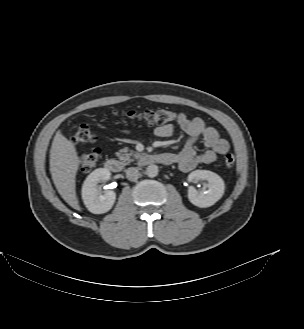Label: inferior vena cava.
Returning <instances> with one entry per match:
<instances>
[{"label": "inferior vena cava", "instance_id": "1", "mask_svg": "<svg viewBox=\"0 0 304 329\" xmlns=\"http://www.w3.org/2000/svg\"><path fill=\"white\" fill-rule=\"evenodd\" d=\"M126 172V177L130 181H136L139 178V171L135 167H129L128 169L125 170Z\"/></svg>", "mask_w": 304, "mask_h": 329}]
</instances>
